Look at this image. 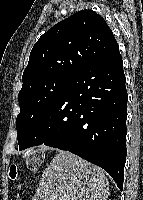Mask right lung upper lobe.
Wrapping results in <instances>:
<instances>
[{
  "mask_svg": "<svg viewBox=\"0 0 143 200\" xmlns=\"http://www.w3.org/2000/svg\"><path fill=\"white\" fill-rule=\"evenodd\" d=\"M117 48L112 30L99 14L79 11L38 39L24 70L22 87L51 76L72 77Z\"/></svg>",
  "mask_w": 143,
  "mask_h": 200,
  "instance_id": "obj_1",
  "label": "right lung upper lobe"
}]
</instances>
